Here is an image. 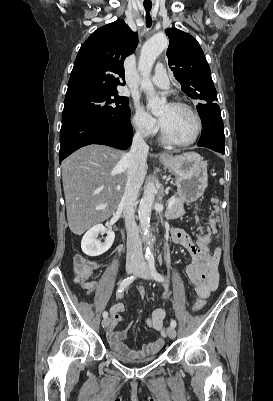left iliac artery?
<instances>
[{"mask_svg":"<svg viewBox=\"0 0 273 401\" xmlns=\"http://www.w3.org/2000/svg\"><path fill=\"white\" fill-rule=\"evenodd\" d=\"M149 269L151 271V274L153 276V278L159 282H163L164 278L163 276L157 272V270L155 269V263H154V257H150L149 258ZM170 325L172 327H176V321L175 320H171Z\"/></svg>","mask_w":273,"mask_h":401,"instance_id":"obj_1","label":"left iliac artery"}]
</instances>
